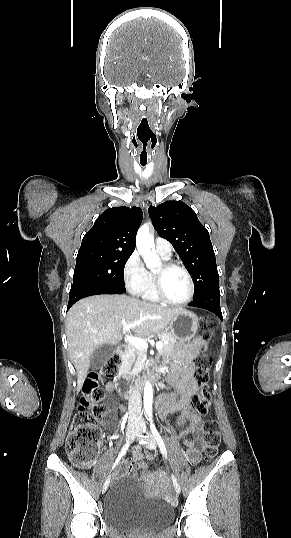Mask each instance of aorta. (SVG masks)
<instances>
[{"instance_id": "obj_1", "label": "aorta", "mask_w": 291, "mask_h": 538, "mask_svg": "<svg viewBox=\"0 0 291 538\" xmlns=\"http://www.w3.org/2000/svg\"><path fill=\"white\" fill-rule=\"evenodd\" d=\"M151 244L152 237L150 235L149 225L144 224L139 228L137 232L136 245L139 253L142 255L146 263V266L152 269L158 267L160 262L157 255L151 252ZM143 403L145 412L147 414H150L152 412L153 404V388L149 381H146L145 383Z\"/></svg>"}]
</instances>
